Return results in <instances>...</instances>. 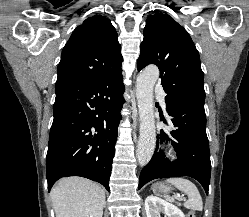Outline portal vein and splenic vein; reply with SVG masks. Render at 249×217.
<instances>
[{
    "label": "portal vein and splenic vein",
    "mask_w": 249,
    "mask_h": 217,
    "mask_svg": "<svg viewBox=\"0 0 249 217\" xmlns=\"http://www.w3.org/2000/svg\"><path fill=\"white\" fill-rule=\"evenodd\" d=\"M177 198L182 199V198H184V197L178 194V195H177Z\"/></svg>",
    "instance_id": "obj_1"
}]
</instances>
